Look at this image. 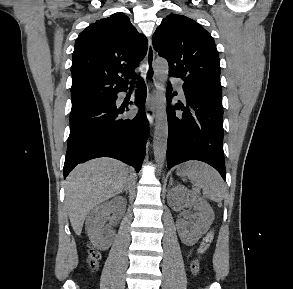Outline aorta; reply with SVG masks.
Listing matches in <instances>:
<instances>
[{
  "label": "aorta",
  "mask_w": 293,
  "mask_h": 289,
  "mask_svg": "<svg viewBox=\"0 0 293 289\" xmlns=\"http://www.w3.org/2000/svg\"><path fill=\"white\" fill-rule=\"evenodd\" d=\"M154 75L158 83V97L159 106L155 117V130L153 149L155 161L159 168L164 165L166 150H167V138H168V121L166 112V94H165V82L168 76V63L164 59H157L154 64Z\"/></svg>",
  "instance_id": "aorta-1"
}]
</instances>
